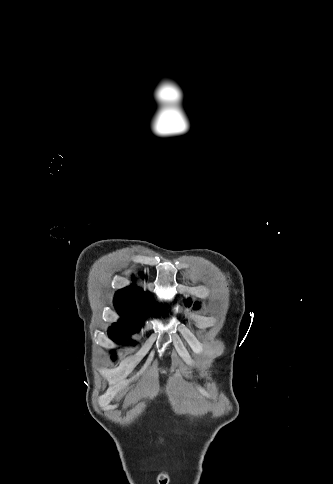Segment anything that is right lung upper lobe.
Masks as SVG:
<instances>
[{"label":"right lung upper lobe","mask_w":333,"mask_h":484,"mask_svg":"<svg viewBox=\"0 0 333 484\" xmlns=\"http://www.w3.org/2000/svg\"><path fill=\"white\" fill-rule=\"evenodd\" d=\"M149 293L143 292L136 286L119 290L114 298V305L121 319L115 324L133 325L139 329L144 318L149 314L158 315L162 308L150 302ZM151 304V306H150Z\"/></svg>","instance_id":"1"}]
</instances>
